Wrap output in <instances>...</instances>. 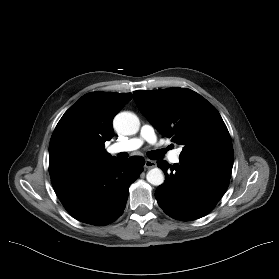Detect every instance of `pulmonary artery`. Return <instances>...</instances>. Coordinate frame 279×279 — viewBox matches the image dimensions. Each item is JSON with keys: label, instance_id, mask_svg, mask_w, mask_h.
Listing matches in <instances>:
<instances>
[{"label": "pulmonary artery", "instance_id": "1", "mask_svg": "<svg viewBox=\"0 0 279 279\" xmlns=\"http://www.w3.org/2000/svg\"><path fill=\"white\" fill-rule=\"evenodd\" d=\"M144 142L154 144L156 142V134L154 128L150 124L142 126L140 134L137 137L115 143L109 147L111 153L128 152L139 149ZM180 149L173 150L169 154V161L176 164L180 160Z\"/></svg>", "mask_w": 279, "mask_h": 279}]
</instances>
